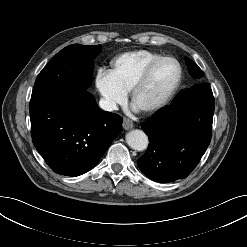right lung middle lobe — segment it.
<instances>
[{
  "instance_id": "1",
  "label": "right lung middle lobe",
  "mask_w": 247,
  "mask_h": 247,
  "mask_svg": "<svg viewBox=\"0 0 247 247\" xmlns=\"http://www.w3.org/2000/svg\"><path fill=\"white\" fill-rule=\"evenodd\" d=\"M101 45L73 44L57 53L38 75L31 98L51 89L69 93L86 91L92 80L93 60Z\"/></svg>"
}]
</instances>
